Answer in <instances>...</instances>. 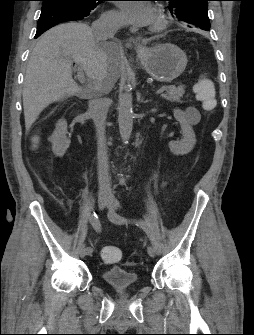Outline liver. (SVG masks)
Here are the masks:
<instances>
[{"instance_id": "obj_1", "label": "liver", "mask_w": 254, "mask_h": 335, "mask_svg": "<svg viewBox=\"0 0 254 335\" xmlns=\"http://www.w3.org/2000/svg\"><path fill=\"white\" fill-rule=\"evenodd\" d=\"M124 55L115 41L98 40L83 23H64L46 31L28 61L23 88L25 126L30 128L40 113L54 102L84 92L110 91L120 77ZM78 63L88 79L86 88L72 77Z\"/></svg>"}]
</instances>
